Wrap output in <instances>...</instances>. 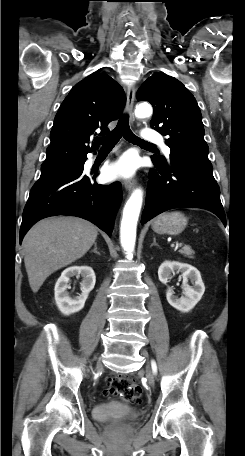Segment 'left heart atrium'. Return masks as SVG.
<instances>
[{"mask_svg": "<svg viewBox=\"0 0 245 456\" xmlns=\"http://www.w3.org/2000/svg\"><path fill=\"white\" fill-rule=\"evenodd\" d=\"M137 167V159L131 154H126L107 168L106 175L111 179L129 178L135 174Z\"/></svg>", "mask_w": 245, "mask_h": 456, "instance_id": "39dd6f15", "label": "left heart atrium"}]
</instances>
